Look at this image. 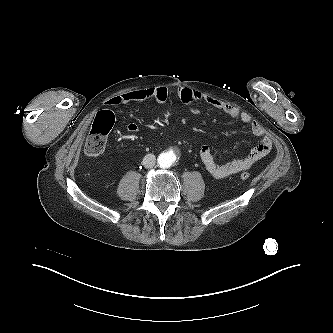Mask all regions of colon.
Segmentation results:
<instances>
[{
  "label": "colon",
  "instance_id": "obj_1",
  "mask_svg": "<svg viewBox=\"0 0 333 333\" xmlns=\"http://www.w3.org/2000/svg\"><path fill=\"white\" fill-rule=\"evenodd\" d=\"M114 115L109 110L101 111L97 114L88 134L85 143V154L90 158H97L105 150L107 137L114 124ZM242 180L250 177L248 172L240 175Z\"/></svg>",
  "mask_w": 333,
  "mask_h": 333
}]
</instances>
